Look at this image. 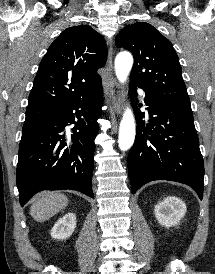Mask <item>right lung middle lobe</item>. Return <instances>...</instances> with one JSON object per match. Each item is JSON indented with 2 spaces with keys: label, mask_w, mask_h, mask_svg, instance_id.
Here are the masks:
<instances>
[{
  "label": "right lung middle lobe",
  "mask_w": 215,
  "mask_h": 274,
  "mask_svg": "<svg viewBox=\"0 0 215 274\" xmlns=\"http://www.w3.org/2000/svg\"><path fill=\"white\" fill-rule=\"evenodd\" d=\"M54 111H31L26 112V119L23 125V131H26L32 127H35L40 122L48 119L52 116Z\"/></svg>",
  "instance_id": "1"
}]
</instances>
